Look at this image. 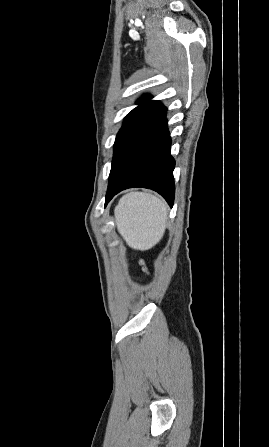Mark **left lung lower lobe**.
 <instances>
[{
    "label": "left lung lower lobe",
    "mask_w": 269,
    "mask_h": 447,
    "mask_svg": "<svg viewBox=\"0 0 269 447\" xmlns=\"http://www.w3.org/2000/svg\"><path fill=\"white\" fill-rule=\"evenodd\" d=\"M171 139L166 117L134 148L114 179L108 184L105 204L131 187H145L162 195L173 206L175 160L170 155Z\"/></svg>",
    "instance_id": "obj_1"
}]
</instances>
